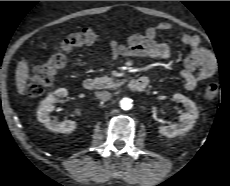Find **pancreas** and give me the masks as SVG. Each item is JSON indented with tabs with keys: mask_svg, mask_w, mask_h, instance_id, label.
I'll return each instance as SVG.
<instances>
[{
	"mask_svg": "<svg viewBox=\"0 0 230 186\" xmlns=\"http://www.w3.org/2000/svg\"><path fill=\"white\" fill-rule=\"evenodd\" d=\"M97 83V88L98 89H110V88H117L122 85V82L119 80H113L110 77L104 76L100 78L95 79Z\"/></svg>",
	"mask_w": 230,
	"mask_h": 186,
	"instance_id": "obj_1",
	"label": "pancreas"
}]
</instances>
